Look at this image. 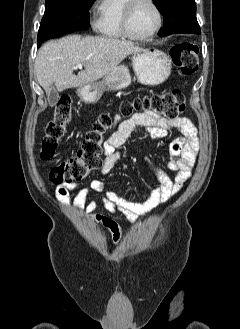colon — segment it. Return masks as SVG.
<instances>
[{
	"mask_svg": "<svg viewBox=\"0 0 240 329\" xmlns=\"http://www.w3.org/2000/svg\"><path fill=\"white\" fill-rule=\"evenodd\" d=\"M199 48L192 42H177L170 56L174 66L185 75H192L198 69ZM185 95L180 90L136 98L124 102L119 109L120 116L131 117L136 111L160 113L168 119L179 117L185 110ZM73 119L71 100L62 96L55 107L53 118L45 128L41 157L50 164L49 177L55 184H70L86 178L89 172L98 167L103 152L104 132L113 125L110 114H102L80 143L77 153L65 160L57 159V147L66 134Z\"/></svg>",
	"mask_w": 240,
	"mask_h": 329,
	"instance_id": "colon-1",
	"label": "colon"
}]
</instances>
